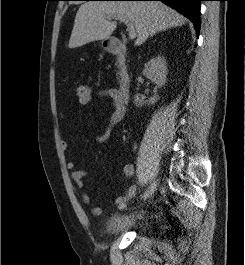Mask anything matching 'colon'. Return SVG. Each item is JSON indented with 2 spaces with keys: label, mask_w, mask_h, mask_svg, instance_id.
<instances>
[{
  "label": "colon",
  "mask_w": 245,
  "mask_h": 265,
  "mask_svg": "<svg viewBox=\"0 0 245 265\" xmlns=\"http://www.w3.org/2000/svg\"><path fill=\"white\" fill-rule=\"evenodd\" d=\"M74 94L76 96L78 103L81 106H87L91 102L92 98L91 89L87 85L80 84L75 86Z\"/></svg>",
  "instance_id": "1"
}]
</instances>
